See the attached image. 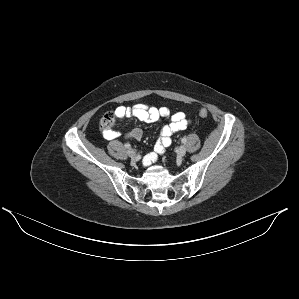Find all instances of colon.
<instances>
[{
  "mask_svg": "<svg viewBox=\"0 0 299 299\" xmlns=\"http://www.w3.org/2000/svg\"><path fill=\"white\" fill-rule=\"evenodd\" d=\"M207 115L208 112L206 109H201L199 111L200 117L205 118ZM115 121H116V116L114 114H106L100 120V127L102 128L103 131L113 130Z\"/></svg>",
  "mask_w": 299,
  "mask_h": 299,
  "instance_id": "colon-1",
  "label": "colon"
}]
</instances>
